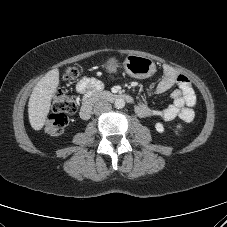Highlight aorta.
Masks as SVG:
<instances>
[{
    "label": "aorta",
    "mask_w": 227,
    "mask_h": 227,
    "mask_svg": "<svg viewBox=\"0 0 227 227\" xmlns=\"http://www.w3.org/2000/svg\"><path fill=\"white\" fill-rule=\"evenodd\" d=\"M115 108L121 109L125 106V101L123 99H116L114 102Z\"/></svg>",
    "instance_id": "1"
}]
</instances>
